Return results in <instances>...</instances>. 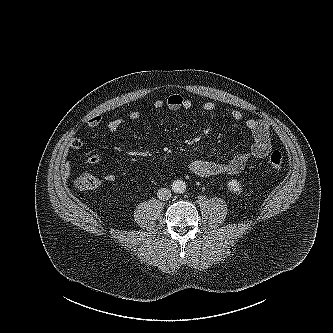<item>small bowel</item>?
Returning a JSON list of instances; mask_svg holds the SVG:
<instances>
[{
    "mask_svg": "<svg viewBox=\"0 0 333 333\" xmlns=\"http://www.w3.org/2000/svg\"><path fill=\"white\" fill-rule=\"evenodd\" d=\"M194 106L190 99L184 98L179 94H172L166 99L156 100L154 102L155 109H162L164 107L168 108L170 111L176 112L180 110H190ZM202 110L205 112H213L215 110V104L213 102H205L201 106ZM141 112L138 110L131 111L129 114L130 120H138L141 118ZM230 117L236 122H244V125L249 130L253 137V143L247 151L239 152L233 155L227 161H211L203 158L194 159L189 164V169L192 173L200 177H211L218 175H233L241 172L247 163L252 158H264L271 151V138L269 125L265 120L248 118L244 119L241 111L237 109H232L229 113ZM103 122L100 115H95L91 117L87 124L91 128H96ZM126 119L116 118L106 122V128L110 132H117L123 124H125ZM69 147L78 150L82 148L83 142L78 137H73L69 141ZM101 158L99 155L94 154L89 158L91 164L100 163ZM65 172L70 171V166L66 165L64 167ZM105 180L115 181L116 175L113 173H108L105 175Z\"/></svg>",
    "mask_w": 333,
    "mask_h": 333,
    "instance_id": "c3829d8e",
    "label": "small bowel"
}]
</instances>
